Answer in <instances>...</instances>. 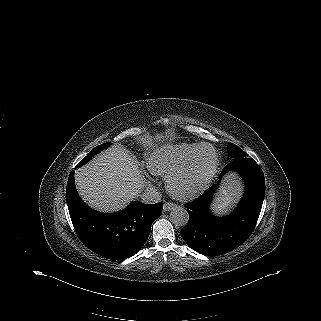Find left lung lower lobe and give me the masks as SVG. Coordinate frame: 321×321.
<instances>
[{"instance_id": "0a47b994", "label": "left lung lower lobe", "mask_w": 321, "mask_h": 321, "mask_svg": "<svg viewBox=\"0 0 321 321\" xmlns=\"http://www.w3.org/2000/svg\"><path fill=\"white\" fill-rule=\"evenodd\" d=\"M231 170L237 171L246 183L245 195L231 215L216 218L210 213L209 205L218 183L184 205L189 222L181 230V236L200 254L218 256L237 248L250 236L258 220L265 196V180L260 166L248 156L237 158L223 169L221 177Z\"/></svg>"}]
</instances>
